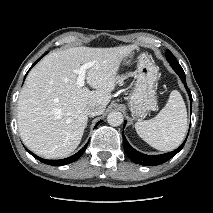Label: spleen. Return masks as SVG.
Here are the masks:
<instances>
[{
    "label": "spleen",
    "instance_id": "obj_1",
    "mask_svg": "<svg viewBox=\"0 0 213 213\" xmlns=\"http://www.w3.org/2000/svg\"><path fill=\"white\" fill-rule=\"evenodd\" d=\"M137 134L150 146L160 151L178 147L187 131V111L181 94L171 92L166 105L150 120L135 124Z\"/></svg>",
    "mask_w": 213,
    "mask_h": 213
}]
</instances>
